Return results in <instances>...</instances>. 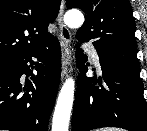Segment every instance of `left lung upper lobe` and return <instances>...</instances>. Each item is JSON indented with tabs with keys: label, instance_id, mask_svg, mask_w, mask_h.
<instances>
[{
	"label": "left lung upper lobe",
	"instance_id": "5c2ea615",
	"mask_svg": "<svg viewBox=\"0 0 147 131\" xmlns=\"http://www.w3.org/2000/svg\"><path fill=\"white\" fill-rule=\"evenodd\" d=\"M66 7L79 8L86 14L76 33L78 41H91L100 57L140 73L129 0H66Z\"/></svg>",
	"mask_w": 147,
	"mask_h": 131
}]
</instances>
